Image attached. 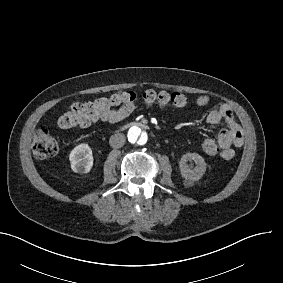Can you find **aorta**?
<instances>
[{"instance_id":"1","label":"aorta","mask_w":283,"mask_h":283,"mask_svg":"<svg viewBox=\"0 0 283 283\" xmlns=\"http://www.w3.org/2000/svg\"><path fill=\"white\" fill-rule=\"evenodd\" d=\"M127 137L130 143L140 146L145 145L148 141V133L138 126L131 127Z\"/></svg>"}]
</instances>
